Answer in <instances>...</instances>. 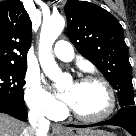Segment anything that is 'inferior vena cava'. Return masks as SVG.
Wrapping results in <instances>:
<instances>
[{"label": "inferior vena cava", "mask_w": 136, "mask_h": 136, "mask_svg": "<svg viewBox=\"0 0 136 136\" xmlns=\"http://www.w3.org/2000/svg\"><path fill=\"white\" fill-rule=\"evenodd\" d=\"M34 136H46L49 129V121L44 118L41 111L31 109L28 114Z\"/></svg>", "instance_id": "obj_1"}]
</instances>
